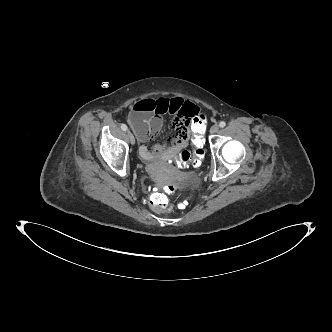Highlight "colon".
Listing matches in <instances>:
<instances>
[{
	"label": "colon",
	"mask_w": 332,
	"mask_h": 332,
	"mask_svg": "<svg viewBox=\"0 0 332 332\" xmlns=\"http://www.w3.org/2000/svg\"><path fill=\"white\" fill-rule=\"evenodd\" d=\"M204 115H201V119L192 118L190 120V128H191V138L193 150L189 152L187 150H183L176 154L172 158V163L177 169H192L197 170L200 168L204 159L208 157L209 150L204 146L205 144V132L204 129L207 127V122L203 119ZM175 189L174 184H169L165 187V191L168 193L173 192ZM149 204L156 211H170L171 208L168 207V199L166 195L162 192H156L151 195L149 199ZM186 203H181L180 207L184 208Z\"/></svg>",
	"instance_id": "5ec220e1"
}]
</instances>
